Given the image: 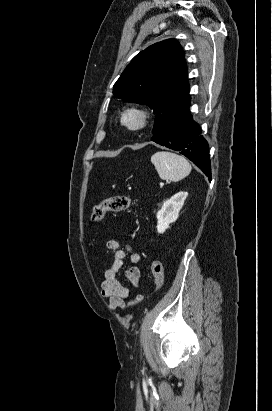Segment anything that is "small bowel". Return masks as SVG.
<instances>
[{
    "label": "small bowel",
    "instance_id": "c3829d8e",
    "mask_svg": "<svg viewBox=\"0 0 272 411\" xmlns=\"http://www.w3.org/2000/svg\"><path fill=\"white\" fill-rule=\"evenodd\" d=\"M107 250L112 251L110 257V266L104 272V278L101 282L102 296L109 300L108 307L111 310L115 309H131L137 306L143 299L141 294H137L134 300L126 303L125 299L129 295V288L123 285L118 279V273L124 264L127 256L132 266L128 267L125 272V278L135 287L140 285L141 271L137 264L140 261V254L133 247L119 240H109L106 242Z\"/></svg>",
    "mask_w": 272,
    "mask_h": 411
}]
</instances>
